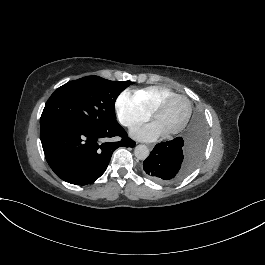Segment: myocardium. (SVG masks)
I'll return each instance as SVG.
<instances>
[{
    "label": "myocardium",
    "mask_w": 265,
    "mask_h": 265,
    "mask_svg": "<svg viewBox=\"0 0 265 265\" xmlns=\"http://www.w3.org/2000/svg\"><path fill=\"white\" fill-rule=\"evenodd\" d=\"M176 98L181 99L184 102L185 112H184V116H183L182 120L180 121V123L178 125H176L174 128H172L171 130L165 132L167 135L179 133L186 127V125L190 119L191 110H192L190 101L185 96H183L181 94L171 93V94L163 97L162 99H160L155 104V106L152 110V119L155 120L158 111L161 108H163L169 101H171L172 99H176Z\"/></svg>",
    "instance_id": "myocardium-1"
}]
</instances>
